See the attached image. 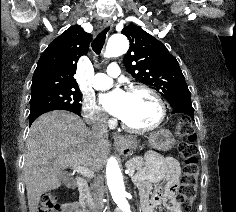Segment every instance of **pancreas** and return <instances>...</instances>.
Instances as JSON below:
<instances>
[{"mask_svg": "<svg viewBox=\"0 0 236 212\" xmlns=\"http://www.w3.org/2000/svg\"><path fill=\"white\" fill-rule=\"evenodd\" d=\"M144 166V161L142 157H134L126 163V167L129 170L138 171Z\"/></svg>", "mask_w": 236, "mask_h": 212, "instance_id": "1", "label": "pancreas"}]
</instances>
